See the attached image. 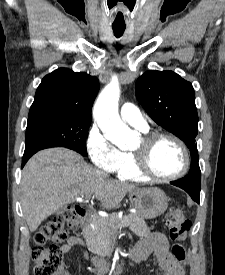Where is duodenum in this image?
<instances>
[{
	"mask_svg": "<svg viewBox=\"0 0 225 275\" xmlns=\"http://www.w3.org/2000/svg\"><path fill=\"white\" fill-rule=\"evenodd\" d=\"M81 212V221L83 222V225L86 226L90 222L87 217V211L86 209H81ZM93 261L98 275H108L110 273L122 274L126 268L125 263H121L114 267L111 261L100 257H95Z\"/></svg>",
	"mask_w": 225,
	"mask_h": 275,
	"instance_id": "obj_1",
	"label": "duodenum"
}]
</instances>
